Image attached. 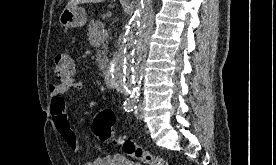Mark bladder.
I'll return each mask as SVG.
<instances>
[{
	"instance_id": "31cf9c89",
	"label": "bladder",
	"mask_w": 276,
	"mask_h": 165,
	"mask_svg": "<svg viewBox=\"0 0 276 165\" xmlns=\"http://www.w3.org/2000/svg\"><path fill=\"white\" fill-rule=\"evenodd\" d=\"M112 165H143L140 162L128 159L124 156H118Z\"/></svg>"
}]
</instances>
